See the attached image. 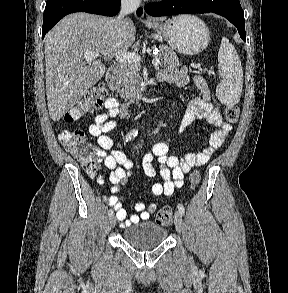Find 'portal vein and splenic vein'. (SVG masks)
Wrapping results in <instances>:
<instances>
[{
	"label": "portal vein and splenic vein",
	"instance_id": "obj_1",
	"mask_svg": "<svg viewBox=\"0 0 288 293\" xmlns=\"http://www.w3.org/2000/svg\"><path fill=\"white\" fill-rule=\"evenodd\" d=\"M99 56V53L97 52H85L83 54V57L85 58L86 61H92L96 59ZM116 61L120 63H140L141 62V57L135 52H130V53H119L115 56ZM152 64L154 66H158L160 64V59L155 57L152 61Z\"/></svg>",
	"mask_w": 288,
	"mask_h": 293
}]
</instances>
